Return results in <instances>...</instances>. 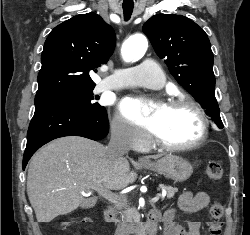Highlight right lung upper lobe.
Listing matches in <instances>:
<instances>
[{
	"label": "right lung upper lobe",
	"instance_id": "1",
	"mask_svg": "<svg viewBox=\"0 0 250 235\" xmlns=\"http://www.w3.org/2000/svg\"><path fill=\"white\" fill-rule=\"evenodd\" d=\"M115 43L113 28L95 13L56 26L44 44L35 98L95 86L89 71L107 63Z\"/></svg>",
	"mask_w": 250,
	"mask_h": 235
}]
</instances>
